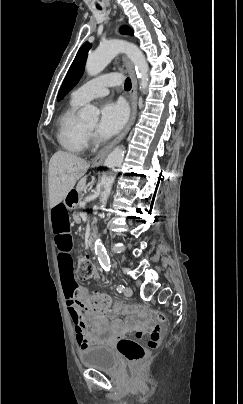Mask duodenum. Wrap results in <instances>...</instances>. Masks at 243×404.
<instances>
[{
  "label": "duodenum",
  "instance_id": "obj_1",
  "mask_svg": "<svg viewBox=\"0 0 243 404\" xmlns=\"http://www.w3.org/2000/svg\"><path fill=\"white\" fill-rule=\"evenodd\" d=\"M79 192L76 189H69L66 191L63 202L66 205L67 208L69 209H74L78 206L79 204ZM96 241V236L93 234L88 238L87 244L89 248H93L95 245Z\"/></svg>",
  "mask_w": 243,
  "mask_h": 404
}]
</instances>
